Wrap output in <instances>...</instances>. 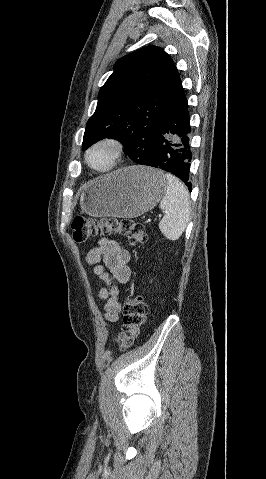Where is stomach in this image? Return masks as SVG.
I'll use <instances>...</instances> for the list:
<instances>
[{
	"instance_id": "0dacf381",
	"label": "stomach",
	"mask_w": 266,
	"mask_h": 479,
	"mask_svg": "<svg viewBox=\"0 0 266 479\" xmlns=\"http://www.w3.org/2000/svg\"><path fill=\"white\" fill-rule=\"evenodd\" d=\"M166 187L163 171L146 166L126 167L83 187L80 205L93 217L136 218L158 204Z\"/></svg>"
}]
</instances>
